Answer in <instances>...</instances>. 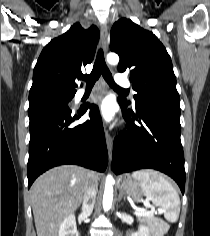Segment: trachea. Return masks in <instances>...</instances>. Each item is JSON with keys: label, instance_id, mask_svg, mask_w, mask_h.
Here are the masks:
<instances>
[{"label": "trachea", "instance_id": "trachea-1", "mask_svg": "<svg viewBox=\"0 0 210 236\" xmlns=\"http://www.w3.org/2000/svg\"><path fill=\"white\" fill-rule=\"evenodd\" d=\"M100 75L103 76L105 81L116 91L119 92H127V90H124L117 86L113 80L112 74L110 73L104 59V54L102 49H99L96 57V61L93 66V70L88 75L81 76V79L85 80L87 83V87L91 88L94 86L95 82L99 79Z\"/></svg>", "mask_w": 210, "mask_h": 236}]
</instances>
